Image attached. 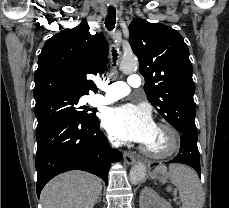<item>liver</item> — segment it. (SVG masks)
I'll use <instances>...</instances> for the list:
<instances>
[{
	"label": "liver",
	"mask_w": 229,
	"mask_h": 208,
	"mask_svg": "<svg viewBox=\"0 0 229 208\" xmlns=\"http://www.w3.org/2000/svg\"><path fill=\"white\" fill-rule=\"evenodd\" d=\"M101 182L86 172H66L46 184L40 202L43 208H93L102 192Z\"/></svg>",
	"instance_id": "1"
}]
</instances>
